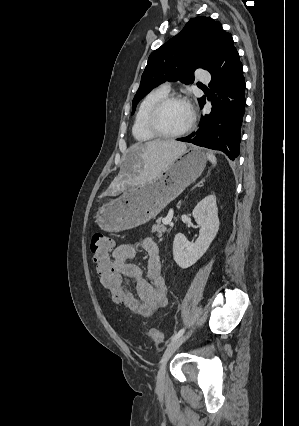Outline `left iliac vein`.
<instances>
[{
    "label": "left iliac vein",
    "mask_w": 299,
    "mask_h": 426,
    "mask_svg": "<svg viewBox=\"0 0 299 426\" xmlns=\"http://www.w3.org/2000/svg\"><path fill=\"white\" fill-rule=\"evenodd\" d=\"M192 331H189L187 334L179 337L177 340L171 342L166 350L163 353V356L160 361V368L157 374V387L163 388L165 385V373H166V364L172 354L188 339Z\"/></svg>",
    "instance_id": "4c4485c4"
}]
</instances>
